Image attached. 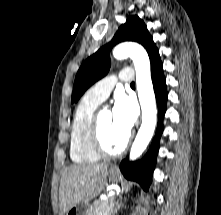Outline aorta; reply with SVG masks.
Here are the masks:
<instances>
[{"label": "aorta", "mask_w": 221, "mask_h": 215, "mask_svg": "<svg viewBox=\"0 0 221 215\" xmlns=\"http://www.w3.org/2000/svg\"><path fill=\"white\" fill-rule=\"evenodd\" d=\"M118 59L130 57L136 71V85L142 109V123L130 150V160H136L148 146L156 127L157 108L146 50L137 43H122L113 50Z\"/></svg>", "instance_id": "aorta-1"}]
</instances>
